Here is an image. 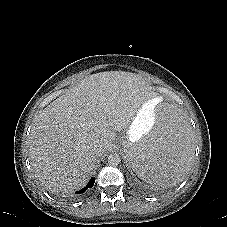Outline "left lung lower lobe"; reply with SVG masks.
I'll use <instances>...</instances> for the list:
<instances>
[{"instance_id":"obj_1","label":"left lung lower lobe","mask_w":227,"mask_h":227,"mask_svg":"<svg viewBox=\"0 0 227 227\" xmlns=\"http://www.w3.org/2000/svg\"><path fill=\"white\" fill-rule=\"evenodd\" d=\"M192 142L191 135L182 134L179 131L174 132L173 138L169 144L160 150L161 158L159 168L164 173H171L173 167H177V163L183 154V151ZM138 160H141V156L138 155Z\"/></svg>"}]
</instances>
